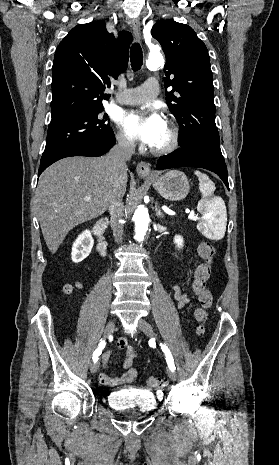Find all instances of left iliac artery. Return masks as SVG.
I'll return each instance as SVG.
<instances>
[{"instance_id":"obj_1","label":"left iliac artery","mask_w":279,"mask_h":465,"mask_svg":"<svg viewBox=\"0 0 279 465\" xmlns=\"http://www.w3.org/2000/svg\"><path fill=\"white\" fill-rule=\"evenodd\" d=\"M161 346V349L162 351L165 353V356H166V361L168 363V366L169 368L174 371L175 370V365H174V360H173V357L171 355V352L170 350L168 349V347L164 344H160Z\"/></svg>"}]
</instances>
